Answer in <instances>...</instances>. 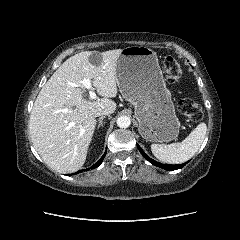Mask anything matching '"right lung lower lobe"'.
<instances>
[{
	"instance_id": "1",
	"label": "right lung lower lobe",
	"mask_w": 240,
	"mask_h": 240,
	"mask_svg": "<svg viewBox=\"0 0 240 240\" xmlns=\"http://www.w3.org/2000/svg\"><path fill=\"white\" fill-rule=\"evenodd\" d=\"M105 155H106V151H105V153L103 154V156L101 157V159H100L99 161H97V162L91 167V169L97 168V167L102 163ZM86 170H88V169H86ZM80 171H83V170H80Z\"/></svg>"
}]
</instances>
